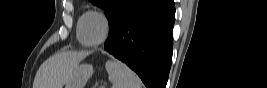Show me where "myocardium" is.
I'll use <instances>...</instances> for the list:
<instances>
[{
  "instance_id": "obj_1",
  "label": "myocardium",
  "mask_w": 267,
  "mask_h": 88,
  "mask_svg": "<svg viewBox=\"0 0 267 88\" xmlns=\"http://www.w3.org/2000/svg\"><path fill=\"white\" fill-rule=\"evenodd\" d=\"M89 16H96V17H98L102 21V23L104 25V33H103V36L101 37L100 40H98L96 42H89V41H87L86 38H85V35H84L85 21H86V19ZM108 34H109V22H108L107 17L103 13H101V12H98V11H90L86 15V17L84 18V22H83V25H82V28H81V36H82V40H83L84 44L87 45V46H90V47H95V46L101 45L107 39Z\"/></svg>"
}]
</instances>
